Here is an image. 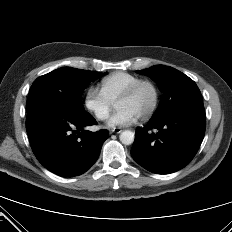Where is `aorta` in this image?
I'll list each match as a JSON object with an SVG mask.
<instances>
[{
  "instance_id": "762f6f07",
  "label": "aorta",
  "mask_w": 232,
  "mask_h": 232,
  "mask_svg": "<svg viewBox=\"0 0 232 232\" xmlns=\"http://www.w3.org/2000/svg\"><path fill=\"white\" fill-rule=\"evenodd\" d=\"M119 139L124 145H131L134 142V133L130 130L121 132Z\"/></svg>"
}]
</instances>
